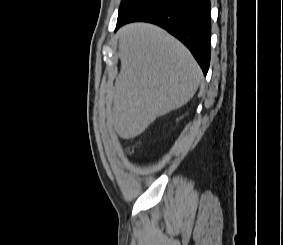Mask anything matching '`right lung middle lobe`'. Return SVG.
<instances>
[{
  "label": "right lung middle lobe",
  "instance_id": "dd1d6c3e",
  "mask_svg": "<svg viewBox=\"0 0 283 245\" xmlns=\"http://www.w3.org/2000/svg\"><path fill=\"white\" fill-rule=\"evenodd\" d=\"M149 0H121V5L118 13L117 24L127 19L139 7L144 5Z\"/></svg>",
  "mask_w": 283,
  "mask_h": 245
}]
</instances>
